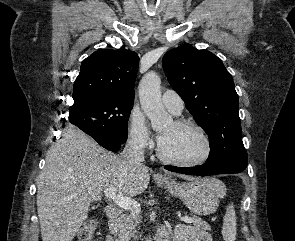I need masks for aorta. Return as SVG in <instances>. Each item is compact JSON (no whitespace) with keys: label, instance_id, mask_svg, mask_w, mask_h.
Segmentation results:
<instances>
[{"label":"aorta","instance_id":"aorta-1","mask_svg":"<svg viewBox=\"0 0 295 241\" xmlns=\"http://www.w3.org/2000/svg\"><path fill=\"white\" fill-rule=\"evenodd\" d=\"M160 84V76L150 71L144 75L138 87L142 110L150 119L154 130H160L173 121L171 115L163 107Z\"/></svg>","mask_w":295,"mask_h":241}]
</instances>
